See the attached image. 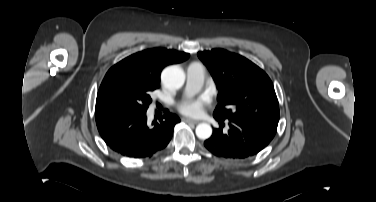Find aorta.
I'll return each mask as SVG.
<instances>
[{"label":"aorta","instance_id":"aorta-1","mask_svg":"<svg viewBox=\"0 0 376 202\" xmlns=\"http://www.w3.org/2000/svg\"><path fill=\"white\" fill-rule=\"evenodd\" d=\"M163 84L171 90L179 89L185 81V73L179 66H169L162 72ZM212 134V128L207 123H200L196 127V135L199 139H208Z\"/></svg>","mask_w":376,"mask_h":202}]
</instances>
